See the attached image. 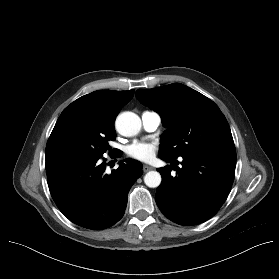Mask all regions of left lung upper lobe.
<instances>
[{
  "mask_svg": "<svg viewBox=\"0 0 279 279\" xmlns=\"http://www.w3.org/2000/svg\"><path fill=\"white\" fill-rule=\"evenodd\" d=\"M138 100L162 118L167 129L159 157L177 159L188 153L210 150L235 151L228 122L218 106L183 84L139 89Z\"/></svg>",
  "mask_w": 279,
  "mask_h": 279,
  "instance_id": "left-lung-upper-lobe-1",
  "label": "left lung upper lobe"
}]
</instances>
